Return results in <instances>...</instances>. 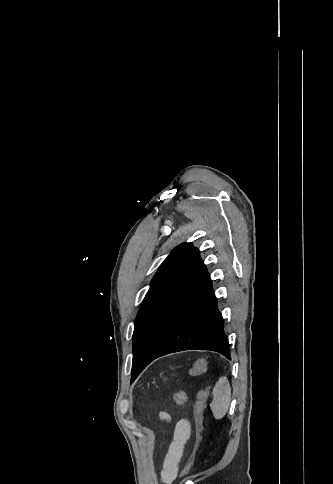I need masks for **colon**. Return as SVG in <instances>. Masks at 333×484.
<instances>
[{
	"label": "colon",
	"mask_w": 333,
	"mask_h": 484,
	"mask_svg": "<svg viewBox=\"0 0 333 484\" xmlns=\"http://www.w3.org/2000/svg\"><path fill=\"white\" fill-rule=\"evenodd\" d=\"M206 367H207V361L205 359H202L192 366V368L190 370V374L192 376L200 375L206 370ZM210 389H211L210 387H206L205 389L201 390L197 395V398H196V401H195V404H194L196 441H195L194 450H193L189 460L187 461V463L185 464V466L183 467V469L180 473L181 476H185L193 466L194 459H195V453H196L198 446H199V443L201 441L203 412H204V409H205L206 400H207L208 395L210 393ZM174 401H175L176 406H178V407L183 406L187 401L186 391L180 390L177 393H175Z\"/></svg>",
	"instance_id": "5ec220e1"
}]
</instances>
